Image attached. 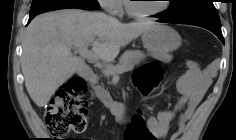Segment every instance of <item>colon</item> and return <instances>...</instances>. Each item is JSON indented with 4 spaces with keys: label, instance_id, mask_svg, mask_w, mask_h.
<instances>
[{
    "label": "colon",
    "instance_id": "obj_1",
    "mask_svg": "<svg viewBox=\"0 0 236 140\" xmlns=\"http://www.w3.org/2000/svg\"><path fill=\"white\" fill-rule=\"evenodd\" d=\"M162 74L161 66L155 62L146 63L136 71L134 83L144 98L158 89ZM88 105L86 82L80 77H71L56 91L45 110L47 129L56 138H64L70 132H82L86 127ZM124 140H154L148 128V117L142 109L128 121Z\"/></svg>",
    "mask_w": 236,
    "mask_h": 140
}]
</instances>
